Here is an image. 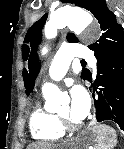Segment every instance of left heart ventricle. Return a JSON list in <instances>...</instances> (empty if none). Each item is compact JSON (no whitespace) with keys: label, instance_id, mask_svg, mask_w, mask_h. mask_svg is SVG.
Returning a JSON list of instances; mask_svg holds the SVG:
<instances>
[{"label":"left heart ventricle","instance_id":"left-heart-ventricle-1","mask_svg":"<svg viewBox=\"0 0 124 149\" xmlns=\"http://www.w3.org/2000/svg\"><path fill=\"white\" fill-rule=\"evenodd\" d=\"M59 114L68 117L70 120H72L73 122H79L77 120H74L71 115H70V105L66 104L64 105L61 110L59 111Z\"/></svg>","mask_w":124,"mask_h":149}]
</instances>
